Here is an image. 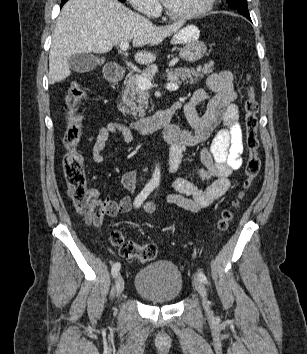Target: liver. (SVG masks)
Segmentation results:
<instances>
[{
  "mask_svg": "<svg viewBox=\"0 0 307 354\" xmlns=\"http://www.w3.org/2000/svg\"><path fill=\"white\" fill-rule=\"evenodd\" d=\"M182 23L157 27L117 0H69L56 21L49 53V83L66 79L70 74L69 59L75 54L107 53L113 46L133 41L134 47L160 44L176 33ZM150 51H138L140 64L154 62Z\"/></svg>",
  "mask_w": 307,
  "mask_h": 354,
  "instance_id": "1",
  "label": "liver"
}]
</instances>
